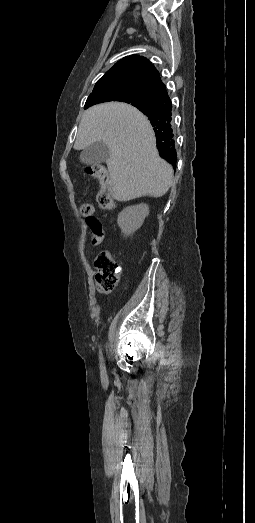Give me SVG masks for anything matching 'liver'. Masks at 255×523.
I'll return each instance as SVG.
<instances>
[{
  "mask_svg": "<svg viewBox=\"0 0 255 523\" xmlns=\"http://www.w3.org/2000/svg\"><path fill=\"white\" fill-rule=\"evenodd\" d=\"M101 140L110 152L106 164L114 200L128 202L140 196L161 198L168 192L173 170L160 158L153 128L137 108L109 102L85 110L74 150H84Z\"/></svg>",
  "mask_w": 255,
  "mask_h": 523,
  "instance_id": "liver-1",
  "label": "liver"
}]
</instances>
